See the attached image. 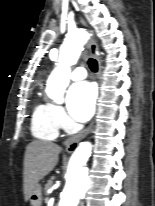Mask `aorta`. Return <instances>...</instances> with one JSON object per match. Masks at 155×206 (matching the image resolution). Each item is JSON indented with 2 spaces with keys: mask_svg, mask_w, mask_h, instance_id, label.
Masks as SVG:
<instances>
[{
  "mask_svg": "<svg viewBox=\"0 0 155 206\" xmlns=\"http://www.w3.org/2000/svg\"><path fill=\"white\" fill-rule=\"evenodd\" d=\"M87 38L85 31L76 30L66 36L60 48L59 65L49 76L46 88L48 96L56 103L63 102V94L69 84L70 67L77 62ZM91 152L92 144L82 142L72 154L58 206H78L86 195L90 185L86 163Z\"/></svg>",
  "mask_w": 155,
  "mask_h": 206,
  "instance_id": "obj_1",
  "label": "aorta"
}]
</instances>
